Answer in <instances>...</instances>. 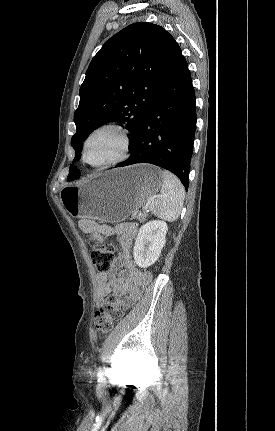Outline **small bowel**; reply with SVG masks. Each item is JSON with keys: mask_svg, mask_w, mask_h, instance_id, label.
<instances>
[{"mask_svg": "<svg viewBox=\"0 0 275 431\" xmlns=\"http://www.w3.org/2000/svg\"><path fill=\"white\" fill-rule=\"evenodd\" d=\"M79 227L84 233L98 240L115 236L119 246L118 257L111 268L98 273L96 295L98 306L104 304L107 295L126 296L125 306L134 305L151 279L149 274L137 268L131 256L132 243L137 233L136 226L132 223H120L110 227L83 219L79 222Z\"/></svg>", "mask_w": 275, "mask_h": 431, "instance_id": "obj_1", "label": "small bowel"}]
</instances>
